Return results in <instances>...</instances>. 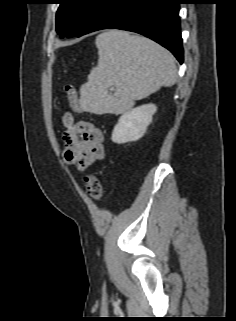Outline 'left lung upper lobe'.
Instances as JSON below:
<instances>
[{
    "mask_svg": "<svg viewBox=\"0 0 236 321\" xmlns=\"http://www.w3.org/2000/svg\"><path fill=\"white\" fill-rule=\"evenodd\" d=\"M104 0H60L56 30L63 37L76 36Z\"/></svg>",
    "mask_w": 236,
    "mask_h": 321,
    "instance_id": "obj_1",
    "label": "left lung upper lobe"
}]
</instances>
